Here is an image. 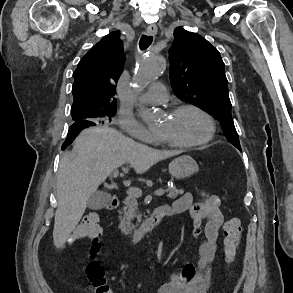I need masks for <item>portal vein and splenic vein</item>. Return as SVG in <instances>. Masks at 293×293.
<instances>
[{
	"instance_id": "portal-vein-and-splenic-vein-1",
	"label": "portal vein and splenic vein",
	"mask_w": 293,
	"mask_h": 293,
	"mask_svg": "<svg viewBox=\"0 0 293 293\" xmlns=\"http://www.w3.org/2000/svg\"><path fill=\"white\" fill-rule=\"evenodd\" d=\"M119 174V171L118 170H114L112 176L113 178H116ZM128 193L132 196H135V197H140L142 196V190L139 189V188H135V187H130L128 189ZM165 194V191L163 189H158L154 192V195L156 196H163Z\"/></svg>"
}]
</instances>
